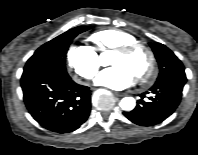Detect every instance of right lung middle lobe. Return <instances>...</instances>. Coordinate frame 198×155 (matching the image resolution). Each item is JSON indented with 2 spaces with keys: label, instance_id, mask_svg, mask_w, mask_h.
<instances>
[{
  "label": "right lung middle lobe",
  "instance_id": "dd1d6c3e",
  "mask_svg": "<svg viewBox=\"0 0 198 155\" xmlns=\"http://www.w3.org/2000/svg\"><path fill=\"white\" fill-rule=\"evenodd\" d=\"M88 29H90V26H79L45 43L27 61L24 71L42 69L68 76L65 68V57L68 47L78 34Z\"/></svg>",
  "mask_w": 198,
  "mask_h": 155
}]
</instances>
